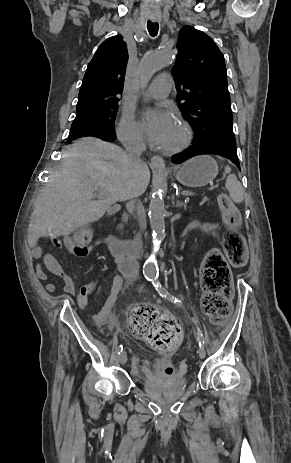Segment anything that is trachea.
<instances>
[{"label":"trachea","instance_id":"obj_1","mask_svg":"<svg viewBox=\"0 0 291 463\" xmlns=\"http://www.w3.org/2000/svg\"><path fill=\"white\" fill-rule=\"evenodd\" d=\"M147 29L149 31V34L151 36H156L159 30V24L158 23H153L151 21H148L147 23Z\"/></svg>","mask_w":291,"mask_h":463}]
</instances>
